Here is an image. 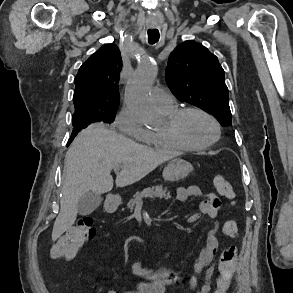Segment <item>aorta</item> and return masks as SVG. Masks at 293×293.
<instances>
[{"mask_svg":"<svg viewBox=\"0 0 293 293\" xmlns=\"http://www.w3.org/2000/svg\"><path fill=\"white\" fill-rule=\"evenodd\" d=\"M157 69L154 62L144 58L126 86L127 105L133 115L143 124L151 125L157 120L149 100V91L155 81Z\"/></svg>","mask_w":293,"mask_h":293,"instance_id":"obj_1","label":"aorta"}]
</instances>
